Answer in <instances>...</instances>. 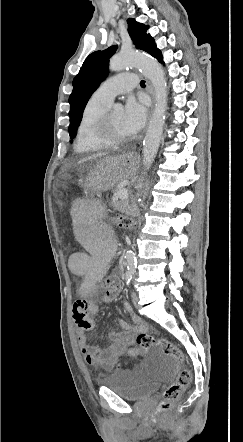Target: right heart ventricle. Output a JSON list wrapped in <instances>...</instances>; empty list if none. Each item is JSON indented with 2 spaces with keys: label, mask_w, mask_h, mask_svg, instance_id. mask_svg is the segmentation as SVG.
Returning <instances> with one entry per match:
<instances>
[{
  "label": "right heart ventricle",
  "mask_w": 243,
  "mask_h": 442,
  "mask_svg": "<svg viewBox=\"0 0 243 442\" xmlns=\"http://www.w3.org/2000/svg\"><path fill=\"white\" fill-rule=\"evenodd\" d=\"M110 104L99 101L93 96L85 105L77 128L74 149L77 153H90L107 148L101 144L95 134L96 126Z\"/></svg>",
  "instance_id": "1"
}]
</instances>
